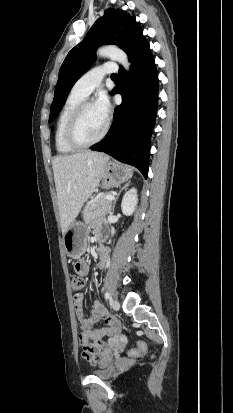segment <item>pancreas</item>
Masks as SVG:
<instances>
[{
  "instance_id": "obj_1",
  "label": "pancreas",
  "mask_w": 233,
  "mask_h": 413,
  "mask_svg": "<svg viewBox=\"0 0 233 413\" xmlns=\"http://www.w3.org/2000/svg\"><path fill=\"white\" fill-rule=\"evenodd\" d=\"M108 194L101 195L97 200L88 204L83 210V220L89 223L98 216L111 213V200L105 198Z\"/></svg>"
}]
</instances>
